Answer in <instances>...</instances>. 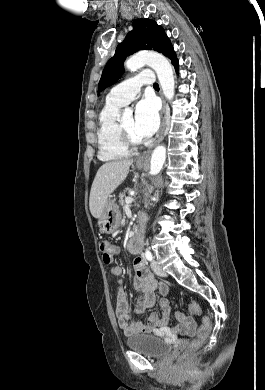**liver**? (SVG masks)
I'll return each mask as SVG.
<instances>
[{
  "mask_svg": "<svg viewBox=\"0 0 265 390\" xmlns=\"http://www.w3.org/2000/svg\"><path fill=\"white\" fill-rule=\"evenodd\" d=\"M133 160H116L104 163L92 183L89 208L96 219L102 215L111 193L126 179Z\"/></svg>",
  "mask_w": 265,
  "mask_h": 390,
  "instance_id": "liver-1",
  "label": "liver"
}]
</instances>
